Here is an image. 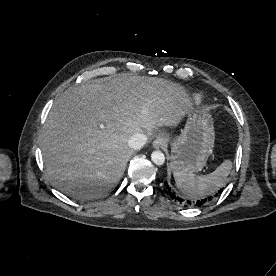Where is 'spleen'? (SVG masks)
I'll return each mask as SVG.
<instances>
[{"label": "spleen", "instance_id": "1", "mask_svg": "<svg viewBox=\"0 0 276 276\" xmlns=\"http://www.w3.org/2000/svg\"><path fill=\"white\" fill-rule=\"evenodd\" d=\"M231 169L232 162L225 160L215 171L205 176H196L184 171H174L173 176L181 192L191 198H201L223 187Z\"/></svg>", "mask_w": 276, "mask_h": 276}]
</instances>
